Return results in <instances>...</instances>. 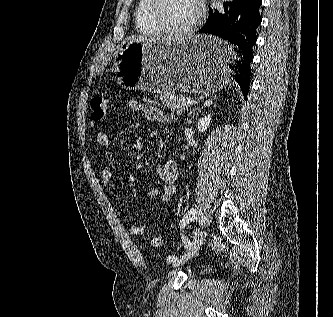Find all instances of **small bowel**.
<instances>
[{"instance_id":"obj_1","label":"small bowel","mask_w":333,"mask_h":317,"mask_svg":"<svg viewBox=\"0 0 333 317\" xmlns=\"http://www.w3.org/2000/svg\"><path fill=\"white\" fill-rule=\"evenodd\" d=\"M130 110L142 113L148 120L168 123V116L159 108L155 106L142 104L136 99L128 101ZM96 142L99 146L109 148L111 146V139L108 133L100 130L96 134ZM106 156H113L112 150H106ZM157 176L160 178L163 186L161 189L153 188L149 191V196L152 198H159L163 204H169L176 193V180L178 178L177 164L173 159L165 160L156 170ZM113 177V167L107 166L102 171V181L105 185H109ZM146 231V225H134L129 228V232L133 235H142Z\"/></svg>"}]
</instances>
